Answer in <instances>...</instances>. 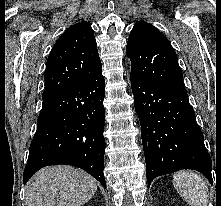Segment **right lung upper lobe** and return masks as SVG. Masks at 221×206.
<instances>
[{"mask_svg":"<svg viewBox=\"0 0 221 206\" xmlns=\"http://www.w3.org/2000/svg\"><path fill=\"white\" fill-rule=\"evenodd\" d=\"M100 70L102 65L90 24L76 23L61 35L49 54L42 99L77 85Z\"/></svg>","mask_w":221,"mask_h":206,"instance_id":"1","label":"right lung upper lobe"}]
</instances>
